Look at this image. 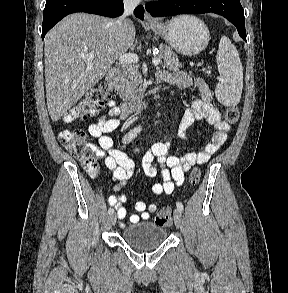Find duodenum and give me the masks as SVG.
I'll list each match as a JSON object with an SVG mask.
<instances>
[{
  "instance_id": "410a0bca",
  "label": "duodenum",
  "mask_w": 288,
  "mask_h": 293,
  "mask_svg": "<svg viewBox=\"0 0 288 293\" xmlns=\"http://www.w3.org/2000/svg\"><path fill=\"white\" fill-rule=\"evenodd\" d=\"M106 81L109 89L115 90L117 86V71L115 68H110L106 75ZM163 80L157 77V83H162ZM153 99L151 97H140L132 100H127L122 103V109L125 113L133 111H142L146 109Z\"/></svg>"
}]
</instances>
